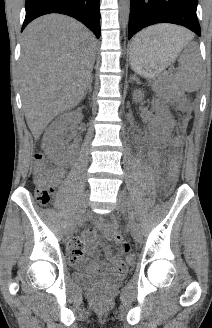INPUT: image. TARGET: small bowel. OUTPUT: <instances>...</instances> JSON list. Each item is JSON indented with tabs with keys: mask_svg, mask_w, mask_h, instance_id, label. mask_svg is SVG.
<instances>
[{
	"mask_svg": "<svg viewBox=\"0 0 212 328\" xmlns=\"http://www.w3.org/2000/svg\"><path fill=\"white\" fill-rule=\"evenodd\" d=\"M63 175L64 171L62 169H56L53 171L51 178L53 182L58 183ZM98 225L105 236L113 238V233L116 232L115 224L99 219ZM99 246L104 249L108 262L101 261L98 258L97 248ZM68 249L72 261H78L85 254L91 255L94 260V266L98 271H122L126 268V265L120 258L114 255L110 248L99 239L93 227L86 228L80 236L75 237L70 242Z\"/></svg>",
	"mask_w": 212,
	"mask_h": 328,
	"instance_id": "1",
	"label": "small bowel"
}]
</instances>
